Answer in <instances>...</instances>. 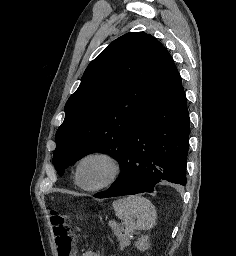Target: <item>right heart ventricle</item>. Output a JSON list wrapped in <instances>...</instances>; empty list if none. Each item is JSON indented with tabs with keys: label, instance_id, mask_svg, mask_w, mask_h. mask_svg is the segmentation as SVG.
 I'll use <instances>...</instances> for the list:
<instances>
[{
	"label": "right heart ventricle",
	"instance_id": "1",
	"mask_svg": "<svg viewBox=\"0 0 236 256\" xmlns=\"http://www.w3.org/2000/svg\"><path fill=\"white\" fill-rule=\"evenodd\" d=\"M73 180H74V183L77 184V181H76V177H75V176H74Z\"/></svg>",
	"mask_w": 236,
	"mask_h": 256
}]
</instances>
